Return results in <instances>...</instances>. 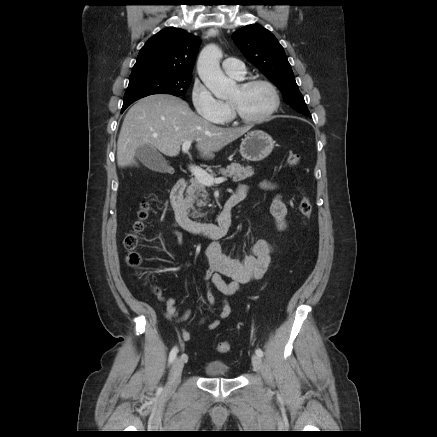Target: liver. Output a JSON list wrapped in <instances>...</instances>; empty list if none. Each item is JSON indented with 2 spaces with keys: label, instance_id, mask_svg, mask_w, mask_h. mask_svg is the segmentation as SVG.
<instances>
[{
  "label": "liver",
  "instance_id": "obj_1",
  "mask_svg": "<svg viewBox=\"0 0 437 437\" xmlns=\"http://www.w3.org/2000/svg\"><path fill=\"white\" fill-rule=\"evenodd\" d=\"M249 129L216 126L196 115L180 98L150 95L136 102L124 118L117 141V164L122 168L137 165L135 153L143 145H150L166 156H177L186 140L196 141L201 157L211 159L214 152Z\"/></svg>",
  "mask_w": 437,
  "mask_h": 437
}]
</instances>
